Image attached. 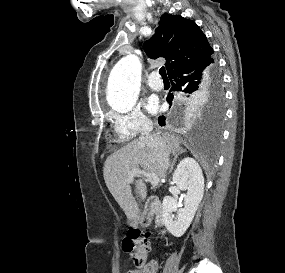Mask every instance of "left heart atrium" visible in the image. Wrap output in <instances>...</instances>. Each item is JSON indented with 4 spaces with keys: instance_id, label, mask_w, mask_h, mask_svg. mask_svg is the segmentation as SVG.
<instances>
[{
    "instance_id": "1",
    "label": "left heart atrium",
    "mask_w": 285,
    "mask_h": 273,
    "mask_svg": "<svg viewBox=\"0 0 285 273\" xmlns=\"http://www.w3.org/2000/svg\"><path fill=\"white\" fill-rule=\"evenodd\" d=\"M146 108L150 113H156L159 110L158 101L154 98L149 99Z\"/></svg>"
}]
</instances>
